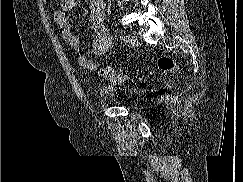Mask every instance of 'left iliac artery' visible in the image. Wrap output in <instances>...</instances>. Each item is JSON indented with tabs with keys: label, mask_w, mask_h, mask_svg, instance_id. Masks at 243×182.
I'll list each match as a JSON object with an SVG mask.
<instances>
[{
	"label": "left iliac artery",
	"mask_w": 243,
	"mask_h": 182,
	"mask_svg": "<svg viewBox=\"0 0 243 182\" xmlns=\"http://www.w3.org/2000/svg\"><path fill=\"white\" fill-rule=\"evenodd\" d=\"M120 39L123 40V41H126V40H127V36H125V35H121V36H120Z\"/></svg>",
	"instance_id": "left-iliac-artery-1"
}]
</instances>
